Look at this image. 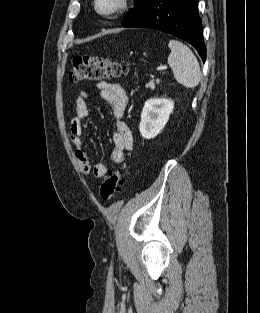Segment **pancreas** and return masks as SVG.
I'll return each mask as SVG.
<instances>
[{
  "label": "pancreas",
  "instance_id": "obj_1",
  "mask_svg": "<svg viewBox=\"0 0 260 313\" xmlns=\"http://www.w3.org/2000/svg\"><path fill=\"white\" fill-rule=\"evenodd\" d=\"M155 82L157 84H160V80L156 79V81L154 79L150 80L149 83L146 84V88H150V89H154L155 88Z\"/></svg>",
  "mask_w": 260,
  "mask_h": 313
}]
</instances>
